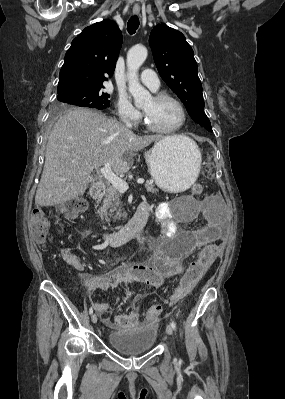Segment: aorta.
<instances>
[{"instance_id": "aorta-1", "label": "aorta", "mask_w": 285, "mask_h": 399, "mask_svg": "<svg viewBox=\"0 0 285 399\" xmlns=\"http://www.w3.org/2000/svg\"><path fill=\"white\" fill-rule=\"evenodd\" d=\"M147 49L144 46H134L127 53V80L128 90L134 98L135 105L141 107L151 99V94L140 84L138 70L147 58Z\"/></svg>"}]
</instances>
